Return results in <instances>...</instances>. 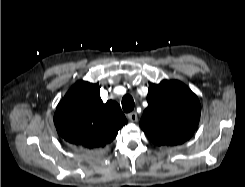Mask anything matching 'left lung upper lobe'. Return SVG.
<instances>
[{"label": "left lung upper lobe", "instance_id": "1", "mask_svg": "<svg viewBox=\"0 0 245 187\" xmlns=\"http://www.w3.org/2000/svg\"><path fill=\"white\" fill-rule=\"evenodd\" d=\"M147 101L140 126L155 145H180L192 137L201 106L186 85L164 80L149 88Z\"/></svg>", "mask_w": 245, "mask_h": 187}]
</instances>
